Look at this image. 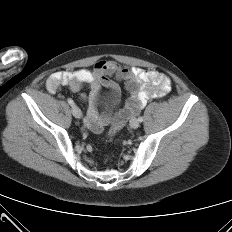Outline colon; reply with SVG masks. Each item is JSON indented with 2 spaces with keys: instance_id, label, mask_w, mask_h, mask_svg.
<instances>
[{
  "instance_id": "1",
  "label": "colon",
  "mask_w": 232,
  "mask_h": 232,
  "mask_svg": "<svg viewBox=\"0 0 232 232\" xmlns=\"http://www.w3.org/2000/svg\"><path fill=\"white\" fill-rule=\"evenodd\" d=\"M123 120L124 121H122L121 123L115 124L109 129V131L107 133V139L109 141L113 140L117 136V133L120 130L121 126L126 124V121H125L126 119L124 118Z\"/></svg>"
}]
</instances>
